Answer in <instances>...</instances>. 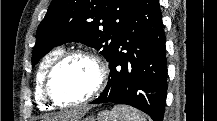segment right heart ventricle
<instances>
[{
    "instance_id": "obj_1",
    "label": "right heart ventricle",
    "mask_w": 217,
    "mask_h": 121,
    "mask_svg": "<svg viewBox=\"0 0 217 121\" xmlns=\"http://www.w3.org/2000/svg\"><path fill=\"white\" fill-rule=\"evenodd\" d=\"M65 52L63 48H56L49 52L41 61L35 79V99L40 108H52L44 96L43 87L46 74L52 64Z\"/></svg>"
}]
</instances>
